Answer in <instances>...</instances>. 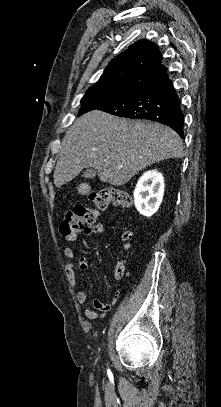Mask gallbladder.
I'll return each mask as SVG.
<instances>
[{
  "mask_svg": "<svg viewBox=\"0 0 221 407\" xmlns=\"http://www.w3.org/2000/svg\"><path fill=\"white\" fill-rule=\"evenodd\" d=\"M83 176L85 178H93L96 176V170L94 169H87L84 173Z\"/></svg>",
  "mask_w": 221,
  "mask_h": 407,
  "instance_id": "bac80fb5",
  "label": "gallbladder"
}]
</instances>
